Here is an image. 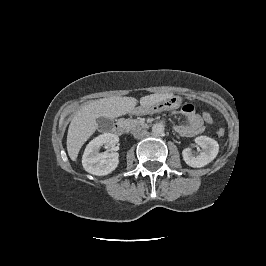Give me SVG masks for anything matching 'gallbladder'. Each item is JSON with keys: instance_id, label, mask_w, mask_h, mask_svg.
Instances as JSON below:
<instances>
[{"instance_id": "bac80fb5", "label": "gallbladder", "mask_w": 266, "mask_h": 266, "mask_svg": "<svg viewBox=\"0 0 266 266\" xmlns=\"http://www.w3.org/2000/svg\"><path fill=\"white\" fill-rule=\"evenodd\" d=\"M97 124H98V128L100 130H110L112 129V125H113V121L109 118H105V117H99L97 118Z\"/></svg>"}]
</instances>
